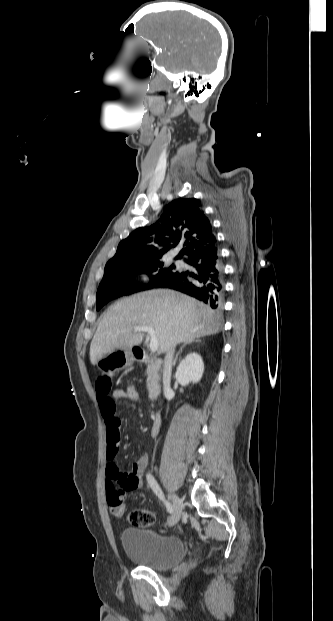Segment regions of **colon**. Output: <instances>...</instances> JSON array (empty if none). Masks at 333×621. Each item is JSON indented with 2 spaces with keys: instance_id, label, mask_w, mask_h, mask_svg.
<instances>
[{
  "instance_id": "obj_1",
  "label": "colon",
  "mask_w": 333,
  "mask_h": 621,
  "mask_svg": "<svg viewBox=\"0 0 333 621\" xmlns=\"http://www.w3.org/2000/svg\"><path fill=\"white\" fill-rule=\"evenodd\" d=\"M122 399L130 403H137L140 399V391L137 385L134 383L128 384L123 390ZM108 475L115 481L118 487L124 489H130L132 487L133 482L129 475L126 472L121 473L114 463L109 465ZM111 512L114 516L121 517L124 513V509L116 507L111 509ZM128 521L130 524L137 527H147L155 523V515L146 509H133L128 514Z\"/></svg>"
}]
</instances>
